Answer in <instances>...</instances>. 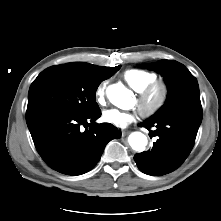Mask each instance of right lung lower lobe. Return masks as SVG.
<instances>
[{"label": "right lung lower lobe", "mask_w": 221, "mask_h": 221, "mask_svg": "<svg viewBox=\"0 0 221 221\" xmlns=\"http://www.w3.org/2000/svg\"><path fill=\"white\" fill-rule=\"evenodd\" d=\"M100 116V109L80 114L44 107L27 109L26 122L38 153L50 168L81 175L97 164L109 141L121 137L112 124L95 123ZM88 125L83 131L82 126Z\"/></svg>", "instance_id": "right-lung-lower-lobe-1"}]
</instances>
